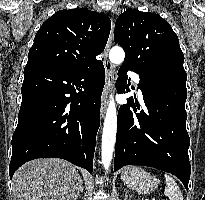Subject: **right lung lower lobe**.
<instances>
[{
  "label": "right lung lower lobe",
  "instance_id": "obj_1",
  "mask_svg": "<svg viewBox=\"0 0 205 200\" xmlns=\"http://www.w3.org/2000/svg\"><path fill=\"white\" fill-rule=\"evenodd\" d=\"M105 69L26 68L9 175L37 158H62L93 170Z\"/></svg>",
  "mask_w": 205,
  "mask_h": 200
}]
</instances>
